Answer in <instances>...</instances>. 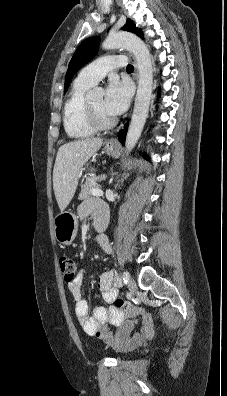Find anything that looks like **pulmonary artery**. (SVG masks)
<instances>
[{"instance_id":"obj_1","label":"pulmonary artery","mask_w":227,"mask_h":396,"mask_svg":"<svg viewBox=\"0 0 227 396\" xmlns=\"http://www.w3.org/2000/svg\"><path fill=\"white\" fill-rule=\"evenodd\" d=\"M126 64L127 58L123 55L104 56L84 67L78 78L84 82L94 85L110 71L119 67H124Z\"/></svg>"}]
</instances>
